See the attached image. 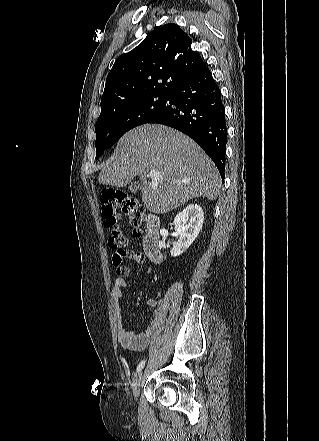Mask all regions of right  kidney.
<instances>
[{
    "mask_svg": "<svg viewBox=\"0 0 319 441\" xmlns=\"http://www.w3.org/2000/svg\"><path fill=\"white\" fill-rule=\"evenodd\" d=\"M203 222L202 208L194 203L189 204L175 216L173 226L179 238L173 245L171 256H179L189 248L202 229Z\"/></svg>",
    "mask_w": 319,
    "mask_h": 441,
    "instance_id": "right-kidney-1",
    "label": "right kidney"
}]
</instances>
